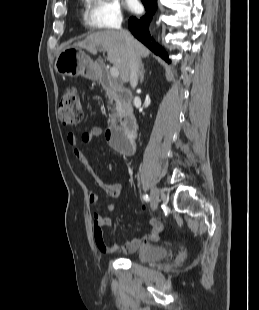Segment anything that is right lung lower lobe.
Returning <instances> with one entry per match:
<instances>
[{
	"label": "right lung lower lobe",
	"mask_w": 259,
	"mask_h": 310,
	"mask_svg": "<svg viewBox=\"0 0 259 310\" xmlns=\"http://www.w3.org/2000/svg\"><path fill=\"white\" fill-rule=\"evenodd\" d=\"M142 2L145 6L146 14L141 18L131 17L128 22V27L133 35L152 52L168 61V56L163 51L162 47H160L159 44L152 43L149 35V23L157 9V0H142Z\"/></svg>",
	"instance_id": "98d812e1"
}]
</instances>
